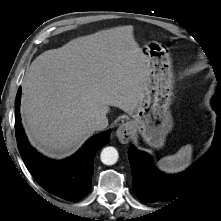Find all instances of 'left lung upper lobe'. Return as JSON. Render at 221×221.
Returning a JSON list of instances; mask_svg holds the SVG:
<instances>
[{
  "mask_svg": "<svg viewBox=\"0 0 221 221\" xmlns=\"http://www.w3.org/2000/svg\"><path fill=\"white\" fill-rule=\"evenodd\" d=\"M217 100L218 103H221V94L218 93V91L215 93V95L212 98V104L215 105V101Z\"/></svg>",
  "mask_w": 221,
  "mask_h": 221,
  "instance_id": "1",
  "label": "left lung upper lobe"
}]
</instances>
